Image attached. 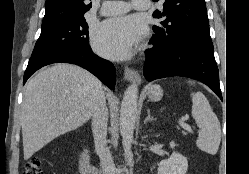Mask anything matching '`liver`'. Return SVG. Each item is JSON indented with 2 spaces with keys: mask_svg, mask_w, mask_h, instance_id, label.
I'll list each match as a JSON object with an SVG mask.
<instances>
[{
  "mask_svg": "<svg viewBox=\"0 0 249 174\" xmlns=\"http://www.w3.org/2000/svg\"><path fill=\"white\" fill-rule=\"evenodd\" d=\"M101 91L102 83L94 75L67 63L43 69L29 79L21 113L24 159L85 124Z\"/></svg>",
  "mask_w": 249,
  "mask_h": 174,
  "instance_id": "obj_1",
  "label": "liver"
}]
</instances>
